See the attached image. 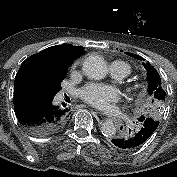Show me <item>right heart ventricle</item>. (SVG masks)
Here are the masks:
<instances>
[{
  "mask_svg": "<svg viewBox=\"0 0 177 177\" xmlns=\"http://www.w3.org/2000/svg\"><path fill=\"white\" fill-rule=\"evenodd\" d=\"M125 64H126V63H125ZM126 66L128 67L129 71H131V68H130V66H129L128 64H126Z\"/></svg>",
  "mask_w": 177,
  "mask_h": 177,
  "instance_id": "1",
  "label": "right heart ventricle"
}]
</instances>
